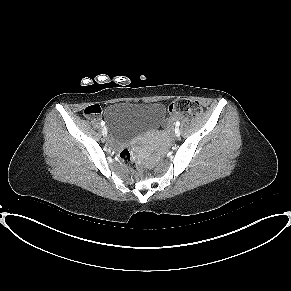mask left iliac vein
I'll return each mask as SVG.
<instances>
[{
	"label": "left iliac vein",
	"mask_w": 291,
	"mask_h": 291,
	"mask_svg": "<svg viewBox=\"0 0 291 291\" xmlns=\"http://www.w3.org/2000/svg\"><path fill=\"white\" fill-rule=\"evenodd\" d=\"M175 135H176V136H179V135H180V130H179V128H175Z\"/></svg>",
	"instance_id": "obj_1"
}]
</instances>
